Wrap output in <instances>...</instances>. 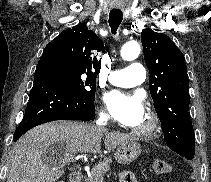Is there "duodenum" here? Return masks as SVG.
Instances as JSON below:
<instances>
[{
    "mask_svg": "<svg viewBox=\"0 0 211 182\" xmlns=\"http://www.w3.org/2000/svg\"><path fill=\"white\" fill-rule=\"evenodd\" d=\"M83 179V173L81 171H73L69 176V182H81Z\"/></svg>",
    "mask_w": 211,
    "mask_h": 182,
    "instance_id": "410a0bca",
    "label": "duodenum"
}]
</instances>
